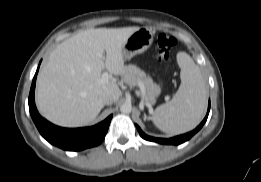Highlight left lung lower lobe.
Instances as JSON below:
<instances>
[{
	"label": "left lung lower lobe",
	"instance_id": "left-lung-lower-lobe-1",
	"mask_svg": "<svg viewBox=\"0 0 261 182\" xmlns=\"http://www.w3.org/2000/svg\"><path fill=\"white\" fill-rule=\"evenodd\" d=\"M209 111H210V101H209V106H208V111H207L206 117L204 118V120L200 123V125L196 129H194L193 131H191L189 133L179 135V136L169 138V139L155 138V137L148 136V135H146L145 133L142 132V130L139 128L138 125H136V127L138 129L140 136L145 140L157 142V143H160V144L179 145V144L189 140L195 133H197L201 129V127L204 125V123L207 120Z\"/></svg>",
	"mask_w": 261,
	"mask_h": 182
}]
</instances>
